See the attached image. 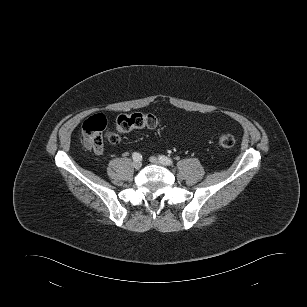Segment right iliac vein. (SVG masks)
Instances as JSON below:
<instances>
[{"mask_svg": "<svg viewBox=\"0 0 307 307\" xmlns=\"http://www.w3.org/2000/svg\"><path fill=\"white\" fill-rule=\"evenodd\" d=\"M141 166H142L141 161H134V162H133V167H134L136 170L140 169Z\"/></svg>", "mask_w": 307, "mask_h": 307, "instance_id": "obj_1", "label": "right iliac vein"}]
</instances>
